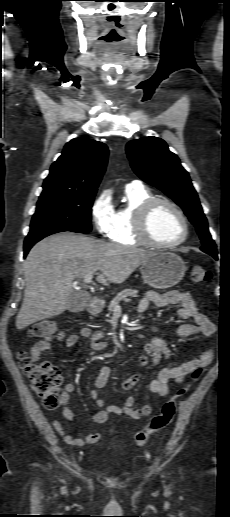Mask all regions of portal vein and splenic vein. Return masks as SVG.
Listing matches in <instances>:
<instances>
[{"label":"portal vein and splenic vein","mask_w":230,"mask_h":517,"mask_svg":"<svg viewBox=\"0 0 230 517\" xmlns=\"http://www.w3.org/2000/svg\"><path fill=\"white\" fill-rule=\"evenodd\" d=\"M92 277H93L92 273H88V274H86V275L83 277V281H84V283H86V284H90V283L92 282ZM125 301H126V302H129L130 300L125 299Z\"/></svg>","instance_id":"1"}]
</instances>
